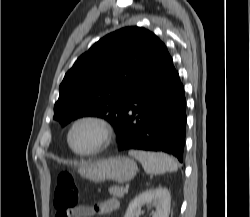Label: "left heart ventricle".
Segmentation results:
<instances>
[{
	"instance_id": "left-heart-ventricle-1",
	"label": "left heart ventricle",
	"mask_w": 250,
	"mask_h": 217,
	"mask_svg": "<svg viewBox=\"0 0 250 217\" xmlns=\"http://www.w3.org/2000/svg\"><path fill=\"white\" fill-rule=\"evenodd\" d=\"M100 132L92 123H83L75 128L71 141L73 146L80 151L90 150L99 142Z\"/></svg>"
}]
</instances>
